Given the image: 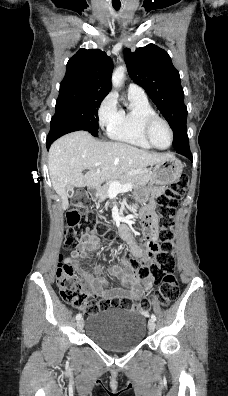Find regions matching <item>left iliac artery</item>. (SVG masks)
Returning a JSON list of instances; mask_svg holds the SVG:
<instances>
[{
	"label": "left iliac artery",
	"instance_id": "left-iliac-artery-1",
	"mask_svg": "<svg viewBox=\"0 0 228 396\" xmlns=\"http://www.w3.org/2000/svg\"><path fill=\"white\" fill-rule=\"evenodd\" d=\"M151 319H153L154 321H156V316L154 314L151 315Z\"/></svg>",
	"mask_w": 228,
	"mask_h": 396
}]
</instances>
